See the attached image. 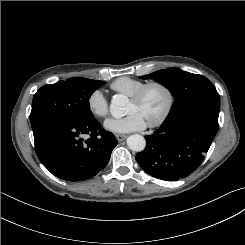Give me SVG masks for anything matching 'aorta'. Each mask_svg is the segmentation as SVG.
Listing matches in <instances>:
<instances>
[{
	"mask_svg": "<svg viewBox=\"0 0 245 245\" xmlns=\"http://www.w3.org/2000/svg\"><path fill=\"white\" fill-rule=\"evenodd\" d=\"M128 100L127 97L122 94L113 96L110 104V112L113 117L121 118L124 115V107ZM128 147L136 152L143 151L146 146L145 138L139 134H133L127 138Z\"/></svg>",
	"mask_w": 245,
	"mask_h": 245,
	"instance_id": "aorta-1",
	"label": "aorta"
}]
</instances>
